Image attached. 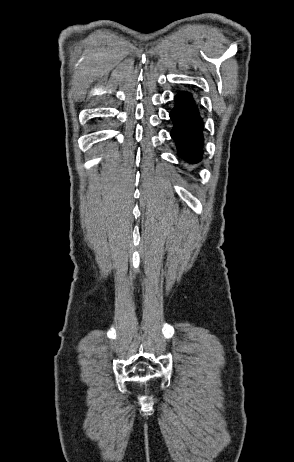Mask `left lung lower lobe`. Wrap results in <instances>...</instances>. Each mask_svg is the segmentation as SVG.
Instances as JSON below:
<instances>
[{"mask_svg": "<svg viewBox=\"0 0 294 462\" xmlns=\"http://www.w3.org/2000/svg\"><path fill=\"white\" fill-rule=\"evenodd\" d=\"M175 101L176 106L170 113L174 122L171 137L183 158L189 162H199L202 158L203 144L202 119L190 93H179Z\"/></svg>", "mask_w": 294, "mask_h": 462, "instance_id": "left-lung-lower-lobe-1", "label": "left lung lower lobe"}]
</instances>
